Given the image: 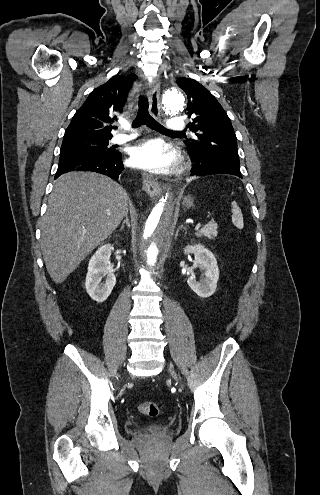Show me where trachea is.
Listing matches in <instances>:
<instances>
[{
  "label": "trachea",
  "mask_w": 320,
  "mask_h": 495,
  "mask_svg": "<svg viewBox=\"0 0 320 495\" xmlns=\"http://www.w3.org/2000/svg\"><path fill=\"white\" fill-rule=\"evenodd\" d=\"M148 101L144 97H140L139 99V108L137 112V116L135 120L133 121L132 127L136 128L139 127L142 124H145L151 129H154L158 132L161 133H174V134H181L182 132H176V131H171L166 129L164 126L159 124L157 121H155L149 114L148 112Z\"/></svg>",
  "instance_id": "1"
}]
</instances>
